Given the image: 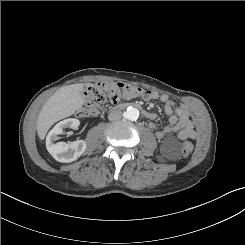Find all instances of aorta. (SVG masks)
Returning a JSON list of instances; mask_svg holds the SVG:
<instances>
[{
    "mask_svg": "<svg viewBox=\"0 0 245 245\" xmlns=\"http://www.w3.org/2000/svg\"><path fill=\"white\" fill-rule=\"evenodd\" d=\"M139 116V111L134 107H128L124 112V117L128 120H136Z\"/></svg>",
    "mask_w": 245,
    "mask_h": 245,
    "instance_id": "aorta-1",
    "label": "aorta"
}]
</instances>
